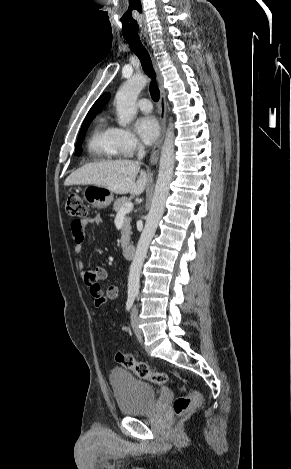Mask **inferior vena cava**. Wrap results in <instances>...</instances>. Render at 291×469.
Here are the masks:
<instances>
[{"label": "inferior vena cava", "instance_id": "obj_1", "mask_svg": "<svg viewBox=\"0 0 291 469\" xmlns=\"http://www.w3.org/2000/svg\"><path fill=\"white\" fill-rule=\"evenodd\" d=\"M137 149H138V160H141L145 156V148L141 143H138Z\"/></svg>", "mask_w": 291, "mask_h": 469}]
</instances>
